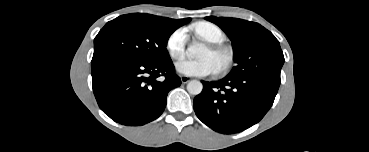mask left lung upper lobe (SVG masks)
I'll use <instances>...</instances> for the list:
<instances>
[{
  "mask_svg": "<svg viewBox=\"0 0 369 152\" xmlns=\"http://www.w3.org/2000/svg\"><path fill=\"white\" fill-rule=\"evenodd\" d=\"M231 39L236 65L230 76H270L280 79L283 52L275 36L258 23L226 17H205Z\"/></svg>",
  "mask_w": 369,
  "mask_h": 152,
  "instance_id": "1",
  "label": "left lung upper lobe"
}]
</instances>
